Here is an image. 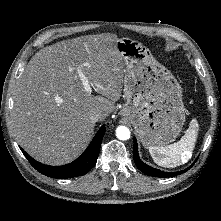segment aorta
Masks as SVG:
<instances>
[{
    "mask_svg": "<svg viewBox=\"0 0 221 221\" xmlns=\"http://www.w3.org/2000/svg\"><path fill=\"white\" fill-rule=\"evenodd\" d=\"M130 130L125 126H119L116 129V136L119 140H128L130 138Z\"/></svg>",
    "mask_w": 221,
    "mask_h": 221,
    "instance_id": "1",
    "label": "aorta"
}]
</instances>
